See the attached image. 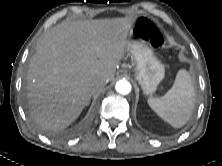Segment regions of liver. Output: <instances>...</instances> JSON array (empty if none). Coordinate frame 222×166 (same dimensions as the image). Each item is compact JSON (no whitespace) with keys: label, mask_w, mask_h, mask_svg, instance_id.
Returning <instances> with one entry per match:
<instances>
[{"label":"liver","mask_w":222,"mask_h":166,"mask_svg":"<svg viewBox=\"0 0 222 166\" xmlns=\"http://www.w3.org/2000/svg\"><path fill=\"white\" fill-rule=\"evenodd\" d=\"M135 18L67 21L38 41L27 77L31 114L44 130L61 131L91 99L92 85L114 77L130 50Z\"/></svg>","instance_id":"1"}]
</instances>
